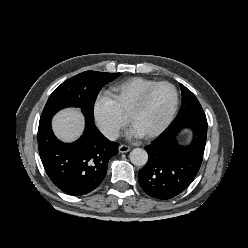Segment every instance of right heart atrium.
<instances>
[{
  "mask_svg": "<svg viewBox=\"0 0 248 248\" xmlns=\"http://www.w3.org/2000/svg\"><path fill=\"white\" fill-rule=\"evenodd\" d=\"M92 114L101 133L111 140L119 137L127 123L126 116L119 111L112 98L104 92L95 97Z\"/></svg>",
  "mask_w": 248,
  "mask_h": 248,
  "instance_id": "d8ad5b80",
  "label": "right heart atrium"
}]
</instances>
